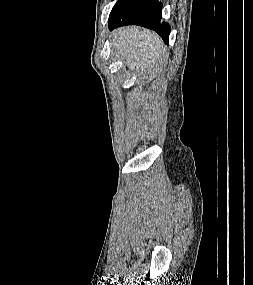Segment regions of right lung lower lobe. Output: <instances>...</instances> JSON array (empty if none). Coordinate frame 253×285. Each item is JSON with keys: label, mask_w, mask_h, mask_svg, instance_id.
Wrapping results in <instances>:
<instances>
[{"label": "right lung lower lobe", "mask_w": 253, "mask_h": 285, "mask_svg": "<svg viewBox=\"0 0 253 285\" xmlns=\"http://www.w3.org/2000/svg\"><path fill=\"white\" fill-rule=\"evenodd\" d=\"M162 4L157 0H119L109 16V29L124 25H140L157 32L169 42L170 26L161 21Z\"/></svg>", "instance_id": "right-lung-lower-lobe-1"}]
</instances>
